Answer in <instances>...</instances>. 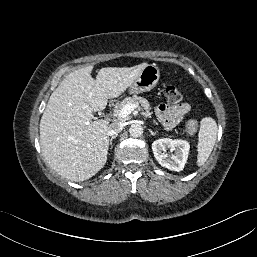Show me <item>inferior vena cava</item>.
I'll return each mask as SVG.
<instances>
[{
  "label": "inferior vena cava",
  "mask_w": 257,
  "mask_h": 257,
  "mask_svg": "<svg viewBox=\"0 0 257 257\" xmlns=\"http://www.w3.org/2000/svg\"><path fill=\"white\" fill-rule=\"evenodd\" d=\"M123 129V125L119 122H114L109 125L108 127V135L114 136L117 135L119 132H121Z\"/></svg>",
  "instance_id": "602c4592"
}]
</instances>
